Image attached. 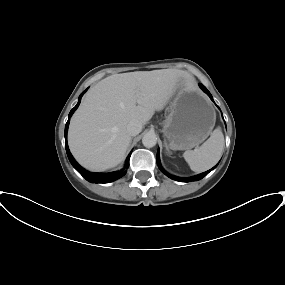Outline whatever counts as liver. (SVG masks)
I'll return each instance as SVG.
<instances>
[{"label": "liver", "instance_id": "6515ba94", "mask_svg": "<svg viewBox=\"0 0 285 285\" xmlns=\"http://www.w3.org/2000/svg\"><path fill=\"white\" fill-rule=\"evenodd\" d=\"M182 88L194 91L195 81L190 73L178 69L106 77L87 92L71 119L68 131L71 153L91 171L117 166L131 141L127 124L131 120L146 124Z\"/></svg>", "mask_w": 285, "mask_h": 285}]
</instances>
